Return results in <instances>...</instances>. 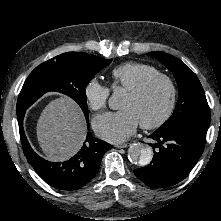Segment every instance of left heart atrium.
I'll return each instance as SVG.
<instances>
[{"mask_svg":"<svg viewBox=\"0 0 221 221\" xmlns=\"http://www.w3.org/2000/svg\"><path fill=\"white\" fill-rule=\"evenodd\" d=\"M93 125L100 137L113 143H120L135 133L139 121L133 112L123 110L99 116L95 118Z\"/></svg>","mask_w":221,"mask_h":221,"instance_id":"39dd6f15","label":"left heart atrium"}]
</instances>
